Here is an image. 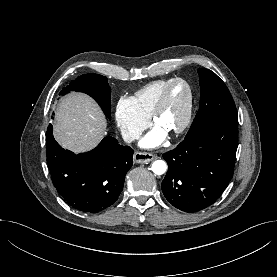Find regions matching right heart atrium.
Listing matches in <instances>:
<instances>
[{"label":"right heart atrium","mask_w":277,"mask_h":277,"mask_svg":"<svg viewBox=\"0 0 277 277\" xmlns=\"http://www.w3.org/2000/svg\"><path fill=\"white\" fill-rule=\"evenodd\" d=\"M115 120L125 141H131L138 137L149 124V118L138 111L131 97L119 99Z\"/></svg>","instance_id":"d8ad5b80"}]
</instances>
